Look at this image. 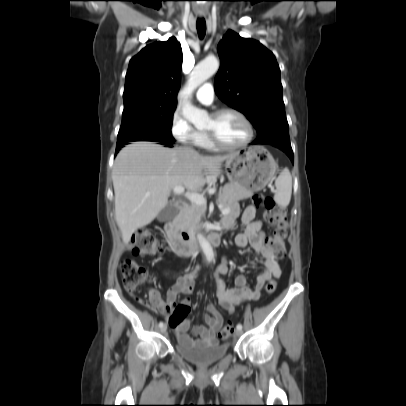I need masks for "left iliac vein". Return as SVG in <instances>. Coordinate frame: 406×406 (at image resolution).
Returning a JSON list of instances; mask_svg holds the SVG:
<instances>
[{
	"label": "left iliac vein",
	"mask_w": 406,
	"mask_h": 406,
	"mask_svg": "<svg viewBox=\"0 0 406 406\" xmlns=\"http://www.w3.org/2000/svg\"><path fill=\"white\" fill-rule=\"evenodd\" d=\"M236 336H240L242 334V330L237 329L235 331Z\"/></svg>",
	"instance_id": "left-iliac-vein-1"
}]
</instances>
